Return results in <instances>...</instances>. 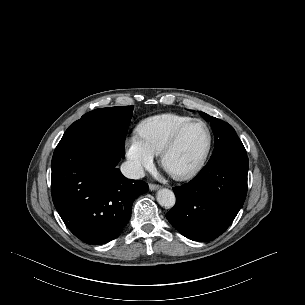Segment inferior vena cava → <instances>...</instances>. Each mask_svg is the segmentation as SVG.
Instances as JSON below:
<instances>
[{"label": "inferior vena cava", "instance_id": "1", "mask_svg": "<svg viewBox=\"0 0 305 305\" xmlns=\"http://www.w3.org/2000/svg\"><path fill=\"white\" fill-rule=\"evenodd\" d=\"M122 174L129 179H140L145 176L143 167L140 164L126 161L120 168Z\"/></svg>", "mask_w": 305, "mask_h": 305}]
</instances>
